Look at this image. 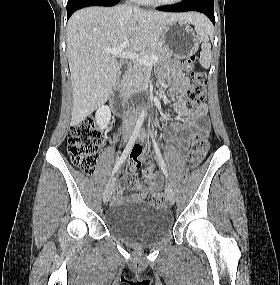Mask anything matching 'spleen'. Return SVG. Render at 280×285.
Returning <instances> with one entry per match:
<instances>
[{"instance_id": "1", "label": "spleen", "mask_w": 280, "mask_h": 285, "mask_svg": "<svg viewBox=\"0 0 280 285\" xmlns=\"http://www.w3.org/2000/svg\"><path fill=\"white\" fill-rule=\"evenodd\" d=\"M195 30L202 41L199 62L203 68L209 69L212 53L208 35L212 30V26L207 20H202L195 25Z\"/></svg>"}]
</instances>
